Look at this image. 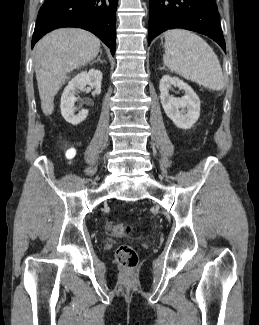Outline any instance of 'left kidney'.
Returning <instances> with one entry per match:
<instances>
[{
    "label": "left kidney",
    "instance_id": "1",
    "mask_svg": "<svg viewBox=\"0 0 259 325\" xmlns=\"http://www.w3.org/2000/svg\"><path fill=\"white\" fill-rule=\"evenodd\" d=\"M185 91L181 98L169 94L171 87ZM160 100L166 115L181 129L191 128L200 116V100L194 90L182 80L164 75L160 80ZM181 109V110H180Z\"/></svg>",
    "mask_w": 259,
    "mask_h": 325
}]
</instances>
